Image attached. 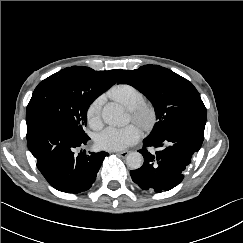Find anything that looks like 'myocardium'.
I'll return each mask as SVG.
<instances>
[{"instance_id": "1", "label": "myocardium", "mask_w": 243, "mask_h": 243, "mask_svg": "<svg viewBox=\"0 0 243 243\" xmlns=\"http://www.w3.org/2000/svg\"><path fill=\"white\" fill-rule=\"evenodd\" d=\"M132 119L144 130H149L156 120V109L150 101H142L130 109Z\"/></svg>"}]
</instances>
